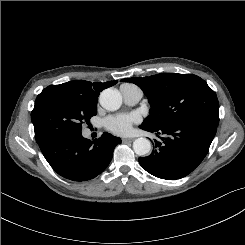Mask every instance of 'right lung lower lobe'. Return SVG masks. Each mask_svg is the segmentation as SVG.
<instances>
[{
	"mask_svg": "<svg viewBox=\"0 0 245 245\" xmlns=\"http://www.w3.org/2000/svg\"><path fill=\"white\" fill-rule=\"evenodd\" d=\"M121 139L109 133L90 141L81 132L59 134L39 145L45 159L60 176L72 181L90 180L109 165Z\"/></svg>",
	"mask_w": 245,
	"mask_h": 245,
	"instance_id": "right-lung-lower-lobe-1",
	"label": "right lung lower lobe"
}]
</instances>
